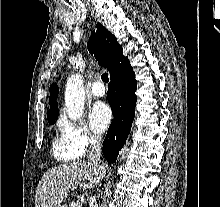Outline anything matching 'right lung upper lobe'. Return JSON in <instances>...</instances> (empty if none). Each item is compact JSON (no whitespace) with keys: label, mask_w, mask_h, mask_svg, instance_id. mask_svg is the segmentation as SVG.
<instances>
[{"label":"right lung upper lobe","mask_w":220,"mask_h":207,"mask_svg":"<svg viewBox=\"0 0 220 207\" xmlns=\"http://www.w3.org/2000/svg\"><path fill=\"white\" fill-rule=\"evenodd\" d=\"M88 50L90 53L96 57L98 64L100 66L106 67L110 73L114 65L122 58L123 49L121 45L117 42L116 37L110 33L105 27L100 23L96 24V30L92 31L90 40L88 42ZM59 88L57 84H52L50 86V109L47 113V119L53 120L58 116V97Z\"/></svg>","instance_id":"1"}]
</instances>
